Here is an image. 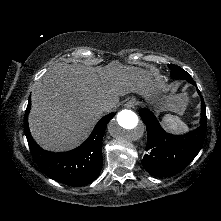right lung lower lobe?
<instances>
[{"mask_svg":"<svg viewBox=\"0 0 221 221\" xmlns=\"http://www.w3.org/2000/svg\"><path fill=\"white\" fill-rule=\"evenodd\" d=\"M30 107L31 98L25 111L24 132L32 156L43 173L51 179L71 186H83L94 181L103 165L104 132L114 113L104 116L96 124L88 139L76 149L63 153H51L43 150L31 137L28 127Z\"/></svg>","mask_w":221,"mask_h":221,"instance_id":"98d812e1","label":"right lung lower lobe"}]
</instances>
